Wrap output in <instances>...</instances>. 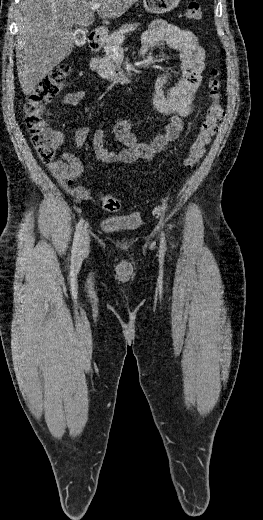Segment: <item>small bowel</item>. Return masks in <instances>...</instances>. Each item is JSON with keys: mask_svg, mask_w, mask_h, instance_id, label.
Returning a JSON list of instances; mask_svg holds the SVG:
<instances>
[{"mask_svg": "<svg viewBox=\"0 0 263 520\" xmlns=\"http://www.w3.org/2000/svg\"><path fill=\"white\" fill-rule=\"evenodd\" d=\"M164 45L178 51L182 59L181 75L174 84L168 86L171 79L168 74L160 75L154 84L153 103L156 110L167 117V124L149 142H140L134 133L133 121L125 119L117 122L113 128L114 137L124 146L119 151L108 148L109 135L105 130H97L92 144L101 163L150 161L183 131V119L191 114L197 100L201 75L205 68V51L191 31L157 20L144 31L141 52L146 54ZM84 97V91L69 92L64 95L62 102L68 106H77ZM87 136L88 128L78 126L74 134V147L80 149ZM54 137L59 144L63 142L62 133L55 132ZM47 168L60 187L73 198L80 201L91 198L90 189L77 184L83 166L74 153L64 152L61 159L49 162Z\"/></svg>", "mask_w": 263, "mask_h": 520, "instance_id": "obj_1", "label": "small bowel"}]
</instances>
